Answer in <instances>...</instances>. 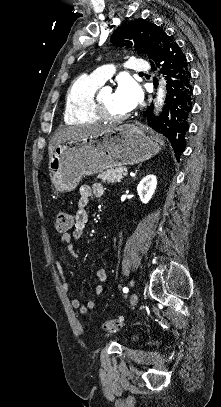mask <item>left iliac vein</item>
<instances>
[{
	"label": "left iliac vein",
	"instance_id": "left-iliac-vein-1",
	"mask_svg": "<svg viewBox=\"0 0 221 407\" xmlns=\"http://www.w3.org/2000/svg\"><path fill=\"white\" fill-rule=\"evenodd\" d=\"M138 301V296L136 293H133L131 296V306L134 307Z\"/></svg>",
	"mask_w": 221,
	"mask_h": 407
}]
</instances>
